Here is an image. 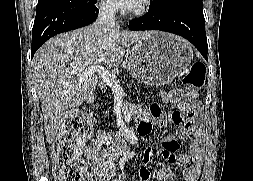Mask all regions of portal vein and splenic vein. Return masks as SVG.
<instances>
[{"instance_id": "portal-vein-and-splenic-vein-1", "label": "portal vein and splenic vein", "mask_w": 253, "mask_h": 181, "mask_svg": "<svg viewBox=\"0 0 253 181\" xmlns=\"http://www.w3.org/2000/svg\"><path fill=\"white\" fill-rule=\"evenodd\" d=\"M94 73H97L98 76L102 79L104 83H106L111 89L115 92H121L122 88L116 81V76L110 73L107 69L103 66H91L88 70L83 73L84 77H88Z\"/></svg>"}]
</instances>
